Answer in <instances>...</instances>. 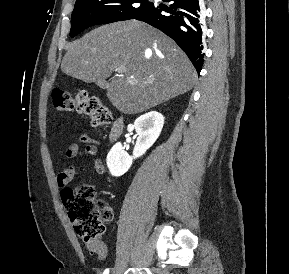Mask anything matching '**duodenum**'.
<instances>
[{"label": "duodenum", "instance_id": "obj_1", "mask_svg": "<svg viewBox=\"0 0 289 274\" xmlns=\"http://www.w3.org/2000/svg\"><path fill=\"white\" fill-rule=\"evenodd\" d=\"M124 129V120L122 117L115 119L112 123L109 138L111 141H115L120 137Z\"/></svg>", "mask_w": 289, "mask_h": 274}]
</instances>
